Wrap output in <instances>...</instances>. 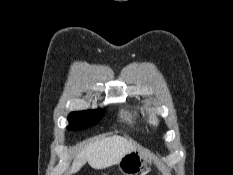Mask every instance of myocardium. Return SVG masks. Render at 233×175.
Wrapping results in <instances>:
<instances>
[{"label": "myocardium", "instance_id": "myocardium-1", "mask_svg": "<svg viewBox=\"0 0 233 175\" xmlns=\"http://www.w3.org/2000/svg\"><path fill=\"white\" fill-rule=\"evenodd\" d=\"M149 122H150L151 125H154V126L158 124L159 119L156 116V114H154V113L150 114V116H149Z\"/></svg>", "mask_w": 233, "mask_h": 175}]
</instances>
